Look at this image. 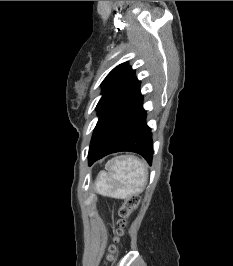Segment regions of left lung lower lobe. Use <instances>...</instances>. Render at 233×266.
Instances as JSON below:
<instances>
[{"label": "left lung lower lobe", "instance_id": "1", "mask_svg": "<svg viewBox=\"0 0 233 266\" xmlns=\"http://www.w3.org/2000/svg\"><path fill=\"white\" fill-rule=\"evenodd\" d=\"M142 102L140 82L136 79L107 106L93 132L89 165L119 151L136 152L151 165L152 133L146 125V112Z\"/></svg>", "mask_w": 233, "mask_h": 266}]
</instances>
